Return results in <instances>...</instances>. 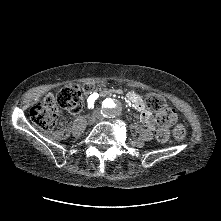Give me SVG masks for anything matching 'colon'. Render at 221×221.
Instances as JSON below:
<instances>
[{"label": "colon", "mask_w": 221, "mask_h": 221, "mask_svg": "<svg viewBox=\"0 0 221 221\" xmlns=\"http://www.w3.org/2000/svg\"><path fill=\"white\" fill-rule=\"evenodd\" d=\"M92 87L80 88L77 85L65 87L59 94L57 101L59 106L51 97L37 103L31 109V117L34 125L43 133L52 134L54 138L63 144L70 143L72 132L68 126L69 114L80 115L86 107L87 92ZM150 108L159 116L160 125L155 135L158 141L167 142L170 139L168 123L172 121V114L164 100L153 95L149 98ZM175 137L180 139L184 135L181 125L175 127Z\"/></svg>", "instance_id": "1"}]
</instances>
